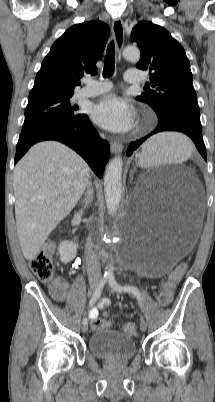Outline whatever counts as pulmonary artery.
I'll return each instance as SVG.
<instances>
[{"mask_svg":"<svg viewBox=\"0 0 215 402\" xmlns=\"http://www.w3.org/2000/svg\"><path fill=\"white\" fill-rule=\"evenodd\" d=\"M124 79L131 84H137L142 81L141 74L136 70H128L124 75ZM84 83L85 87L78 92V96L81 98L98 96L109 91L112 87V84L108 81L93 80L91 78H86Z\"/></svg>","mask_w":215,"mask_h":402,"instance_id":"1","label":"pulmonary artery"}]
</instances>
